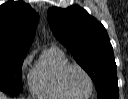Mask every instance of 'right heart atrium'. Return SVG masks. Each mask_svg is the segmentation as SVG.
I'll list each match as a JSON object with an SVG mask.
<instances>
[{"label":"right heart atrium","instance_id":"obj_1","mask_svg":"<svg viewBox=\"0 0 128 99\" xmlns=\"http://www.w3.org/2000/svg\"><path fill=\"white\" fill-rule=\"evenodd\" d=\"M33 56H34V54L33 53H30V54H28L24 58L23 63H22V69L23 70L27 69L31 65V62L33 60Z\"/></svg>","mask_w":128,"mask_h":99}]
</instances>
